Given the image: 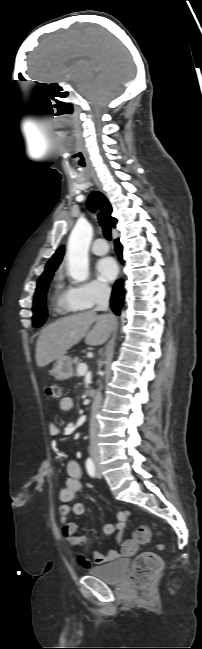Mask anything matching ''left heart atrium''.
<instances>
[{
    "mask_svg": "<svg viewBox=\"0 0 202 649\" xmlns=\"http://www.w3.org/2000/svg\"><path fill=\"white\" fill-rule=\"evenodd\" d=\"M96 272L101 281L109 282L113 280L117 274V265L110 257L102 258L96 265Z\"/></svg>",
    "mask_w": 202,
    "mask_h": 649,
    "instance_id": "1",
    "label": "left heart atrium"
}]
</instances>
